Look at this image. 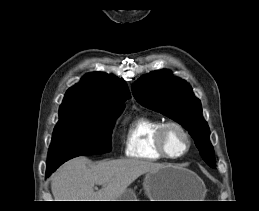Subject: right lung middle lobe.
<instances>
[{"label": "right lung middle lobe", "mask_w": 259, "mask_h": 211, "mask_svg": "<svg viewBox=\"0 0 259 211\" xmlns=\"http://www.w3.org/2000/svg\"><path fill=\"white\" fill-rule=\"evenodd\" d=\"M120 112L74 110L59 115L48 152L47 168L58 167L80 155L112 150L111 130Z\"/></svg>", "instance_id": "right-lung-middle-lobe-1"}]
</instances>
